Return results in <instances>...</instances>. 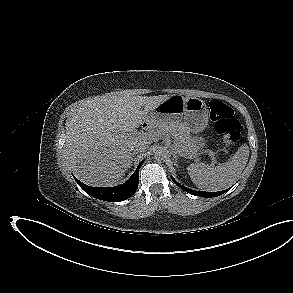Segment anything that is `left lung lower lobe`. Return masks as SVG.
Returning <instances> with one entry per match:
<instances>
[{
  "label": "left lung lower lobe",
  "mask_w": 293,
  "mask_h": 293,
  "mask_svg": "<svg viewBox=\"0 0 293 293\" xmlns=\"http://www.w3.org/2000/svg\"><path fill=\"white\" fill-rule=\"evenodd\" d=\"M174 181V183L179 186L181 189L185 190L186 192L188 193H191L192 195H195V196H199V197H216V196H219L223 193H225L227 190H224V191H220V192H203V191H194L192 189H188L186 187H184L183 185L179 184L178 182H176L174 179H172Z\"/></svg>",
  "instance_id": "0a47b994"
}]
</instances>
